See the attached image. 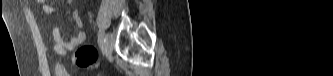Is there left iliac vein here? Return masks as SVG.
Instances as JSON below:
<instances>
[{
  "instance_id": "4c4485c4",
  "label": "left iliac vein",
  "mask_w": 333,
  "mask_h": 76,
  "mask_svg": "<svg viewBox=\"0 0 333 76\" xmlns=\"http://www.w3.org/2000/svg\"><path fill=\"white\" fill-rule=\"evenodd\" d=\"M114 47V36L111 32H107L105 35V42H104V52L106 54H111Z\"/></svg>"
}]
</instances>
